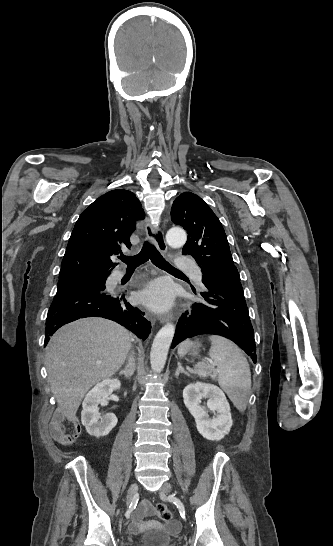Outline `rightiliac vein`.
I'll list each match as a JSON object with an SVG mask.
<instances>
[{
    "label": "right iliac vein",
    "instance_id": "1",
    "mask_svg": "<svg viewBox=\"0 0 333 546\" xmlns=\"http://www.w3.org/2000/svg\"><path fill=\"white\" fill-rule=\"evenodd\" d=\"M138 491V486L137 484H132L128 490V494H127V504L130 503V501L132 500L133 496L137 493Z\"/></svg>",
    "mask_w": 333,
    "mask_h": 546
}]
</instances>
